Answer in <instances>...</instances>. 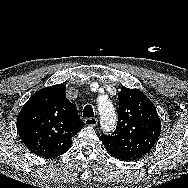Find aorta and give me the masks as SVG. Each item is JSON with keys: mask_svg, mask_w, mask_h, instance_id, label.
I'll return each instance as SVG.
<instances>
[{"mask_svg": "<svg viewBox=\"0 0 188 188\" xmlns=\"http://www.w3.org/2000/svg\"><path fill=\"white\" fill-rule=\"evenodd\" d=\"M99 114L101 127L104 132H112L117 121V114L115 107L109 101H102L99 103Z\"/></svg>", "mask_w": 188, "mask_h": 188, "instance_id": "obj_1", "label": "aorta"}]
</instances>
